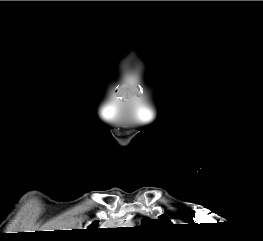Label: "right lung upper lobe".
Returning <instances> with one entry per match:
<instances>
[{"instance_id":"right-lung-upper-lobe-1","label":"right lung upper lobe","mask_w":263,"mask_h":241,"mask_svg":"<svg viewBox=\"0 0 263 241\" xmlns=\"http://www.w3.org/2000/svg\"><path fill=\"white\" fill-rule=\"evenodd\" d=\"M97 224H98V221H94V222L89 226V228H91V227H96Z\"/></svg>"}]
</instances>
